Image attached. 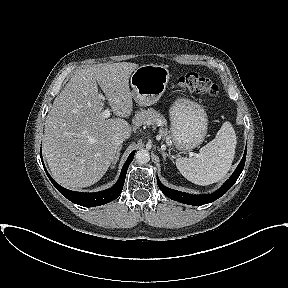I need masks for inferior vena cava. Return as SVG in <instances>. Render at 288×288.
Returning <instances> with one entry per match:
<instances>
[{
	"label": "inferior vena cava",
	"mask_w": 288,
	"mask_h": 288,
	"mask_svg": "<svg viewBox=\"0 0 288 288\" xmlns=\"http://www.w3.org/2000/svg\"><path fill=\"white\" fill-rule=\"evenodd\" d=\"M114 141L116 142V144L121 145L123 141H125V138L121 135H116L114 137Z\"/></svg>",
	"instance_id": "602c4592"
}]
</instances>
